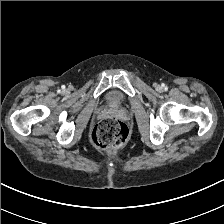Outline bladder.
Listing matches in <instances>:
<instances>
[{
    "mask_svg": "<svg viewBox=\"0 0 224 224\" xmlns=\"http://www.w3.org/2000/svg\"><path fill=\"white\" fill-rule=\"evenodd\" d=\"M106 98L111 106H120L122 104V95L116 90L109 92Z\"/></svg>",
    "mask_w": 224,
    "mask_h": 224,
    "instance_id": "1",
    "label": "bladder"
}]
</instances>
